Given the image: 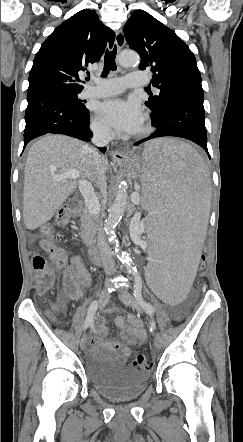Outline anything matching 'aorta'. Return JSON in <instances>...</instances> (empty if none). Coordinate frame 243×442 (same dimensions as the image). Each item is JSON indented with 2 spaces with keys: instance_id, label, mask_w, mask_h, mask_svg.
Masks as SVG:
<instances>
[{
  "instance_id": "762f6f07",
  "label": "aorta",
  "mask_w": 243,
  "mask_h": 442,
  "mask_svg": "<svg viewBox=\"0 0 243 442\" xmlns=\"http://www.w3.org/2000/svg\"><path fill=\"white\" fill-rule=\"evenodd\" d=\"M119 64L123 68L135 67L138 64V57L132 52L124 51L119 56ZM127 199V184L121 181L116 188L115 199L109 208V215L104 222L105 233L113 242L116 241L115 228L125 213L127 207ZM121 258L126 262L128 269H132L129 255L125 252H122Z\"/></svg>"
}]
</instances>
